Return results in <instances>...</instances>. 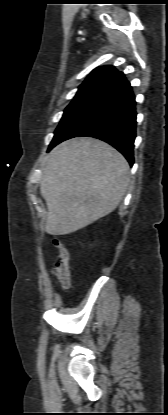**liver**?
Segmentation results:
<instances>
[{"label": "liver", "instance_id": "liver-1", "mask_svg": "<svg viewBox=\"0 0 168 415\" xmlns=\"http://www.w3.org/2000/svg\"><path fill=\"white\" fill-rule=\"evenodd\" d=\"M130 181L129 164L109 144L90 137L65 141L49 154L40 182L45 230L66 235L110 214Z\"/></svg>", "mask_w": 168, "mask_h": 415}]
</instances>
